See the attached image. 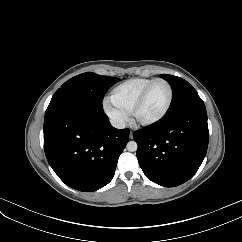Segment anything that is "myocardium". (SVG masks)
I'll return each instance as SVG.
<instances>
[{"label":"myocardium","instance_id":"myocardium-1","mask_svg":"<svg viewBox=\"0 0 242 242\" xmlns=\"http://www.w3.org/2000/svg\"><path fill=\"white\" fill-rule=\"evenodd\" d=\"M158 82H163V83H165L167 85V87L169 89L168 102H167L164 110L162 111V113L159 116H157L156 118L151 119V120H141V119H139L137 117V112L140 109V107L142 106V104L144 103V101H145V99L147 97V94L149 93L150 89ZM173 98H174V92H173V88H172V85L170 84V82L168 80H166V79H163V78H156V79H154L152 82H150L143 89V91L140 93V95L136 99L135 103L133 104V106L131 108V111H130L131 117H132V121L135 124H138V125L143 126V127H149V126H153V125L158 124L168 114V112H169V110H170V108L172 106V103H173Z\"/></svg>","mask_w":242,"mask_h":242}]
</instances>
